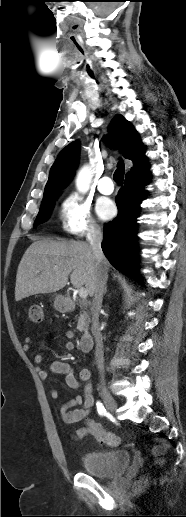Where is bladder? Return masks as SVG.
<instances>
[{
  "label": "bladder",
  "mask_w": 186,
  "mask_h": 517,
  "mask_svg": "<svg viewBox=\"0 0 186 517\" xmlns=\"http://www.w3.org/2000/svg\"><path fill=\"white\" fill-rule=\"evenodd\" d=\"M130 453L127 450L114 452H92L82 457L83 469L97 478H114L129 466Z\"/></svg>",
  "instance_id": "31cf9c89"
}]
</instances>
